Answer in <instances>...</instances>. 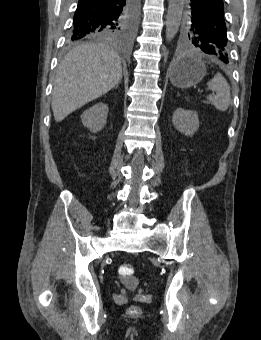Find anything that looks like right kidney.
Instances as JSON below:
<instances>
[{
  "label": "right kidney",
  "mask_w": 261,
  "mask_h": 340,
  "mask_svg": "<svg viewBox=\"0 0 261 340\" xmlns=\"http://www.w3.org/2000/svg\"><path fill=\"white\" fill-rule=\"evenodd\" d=\"M108 111L106 104L97 103L83 112L82 124L93 133L99 132L106 125Z\"/></svg>",
  "instance_id": "right-kidney-1"
}]
</instances>
